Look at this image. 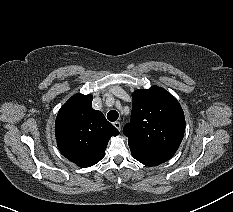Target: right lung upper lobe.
<instances>
[{"label":"right lung upper lobe","mask_w":233,"mask_h":212,"mask_svg":"<svg viewBox=\"0 0 233 212\" xmlns=\"http://www.w3.org/2000/svg\"><path fill=\"white\" fill-rule=\"evenodd\" d=\"M91 95L76 94L59 110L55 121L57 145L64 157L80 167H90L105 155L112 136L119 131L103 113L92 109Z\"/></svg>","instance_id":"cb5924a9"}]
</instances>
